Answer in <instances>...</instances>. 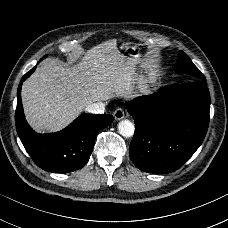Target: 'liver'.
Returning <instances> with one entry per match:
<instances>
[{"mask_svg":"<svg viewBox=\"0 0 228 228\" xmlns=\"http://www.w3.org/2000/svg\"><path fill=\"white\" fill-rule=\"evenodd\" d=\"M137 61L121 54L111 39L87 50L72 67L46 60L23 83L22 103L28 123L37 131H59L89 105L130 97Z\"/></svg>","mask_w":228,"mask_h":228,"instance_id":"1","label":"liver"}]
</instances>
